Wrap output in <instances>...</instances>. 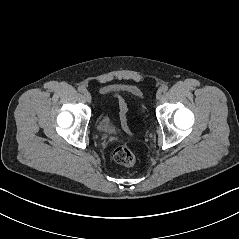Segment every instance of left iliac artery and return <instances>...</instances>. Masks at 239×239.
Returning a JSON list of instances; mask_svg holds the SVG:
<instances>
[{"instance_id":"1","label":"left iliac artery","mask_w":239,"mask_h":239,"mask_svg":"<svg viewBox=\"0 0 239 239\" xmlns=\"http://www.w3.org/2000/svg\"><path fill=\"white\" fill-rule=\"evenodd\" d=\"M168 90V86L167 85H163L162 87H161V91L162 92H166Z\"/></svg>"}]
</instances>
